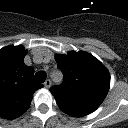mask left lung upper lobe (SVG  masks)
I'll list each match as a JSON object with an SVG mask.
<instances>
[{
    "mask_svg": "<svg viewBox=\"0 0 128 128\" xmlns=\"http://www.w3.org/2000/svg\"><path fill=\"white\" fill-rule=\"evenodd\" d=\"M56 61L66 79L64 89H50L57 103L96 110L109 90L110 75L105 66L83 51L58 55Z\"/></svg>",
    "mask_w": 128,
    "mask_h": 128,
    "instance_id": "obj_1",
    "label": "left lung upper lobe"
}]
</instances>
